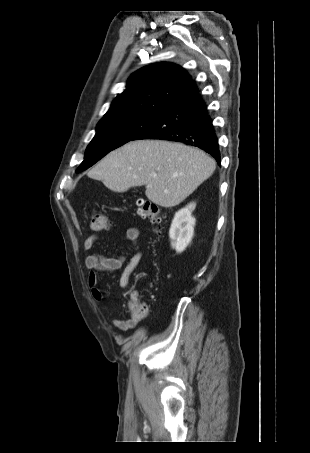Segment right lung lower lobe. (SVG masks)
<instances>
[{
	"instance_id": "right-lung-lower-lobe-1",
	"label": "right lung lower lobe",
	"mask_w": 310,
	"mask_h": 453,
	"mask_svg": "<svg viewBox=\"0 0 310 453\" xmlns=\"http://www.w3.org/2000/svg\"><path fill=\"white\" fill-rule=\"evenodd\" d=\"M138 139L182 142L211 154L220 164L218 139L198 89L168 107Z\"/></svg>"
}]
</instances>
